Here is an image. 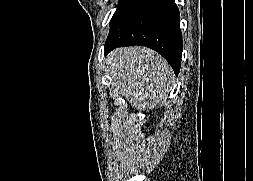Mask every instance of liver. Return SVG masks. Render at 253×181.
<instances>
[{
	"mask_svg": "<svg viewBox=\"0 0 253 181\" xmlns=\"http://www.w3.org/2000/svg\"><path fill=\"white\" fill-rule=\"evenodd\" d=\"M108 60L120 92L136 109L159 108L171 88L174 74L157 52L140 46L119 48Z\"/></svg>",
	"mask_w": 253,
	"mask_h": 181,
	"instance_id": "1",
	"label": "liver"
}]
</instances>
